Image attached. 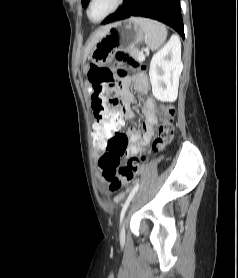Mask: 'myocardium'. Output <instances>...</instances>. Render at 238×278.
Wrapping results in <instances>:
<instances>
[{"label": "myocardium", "mask_w": 238, "mask_h": 278, "mask_svg": "<svg viewBox=\"0 0 238 278\" xmlns=\"http://www.w3.org/2000/svg\"><path fill=\"white\" fill-rule=\"evenodd\" d=\"M94 2V0H89L88 3H87V6H86V16L88 18V20L94 24H98V23H101L103 22L104 20H106L107 18H109L110 16H112L114 13H116L120 7L122 6V4L124 3V0H116L113 8L104 16L102 17L101 19L99 20H93L91 17H90V14H89V11H90V7L92 5V3Z\"/></svg>", "instance_id": "f54148a6"}]
</instances>
